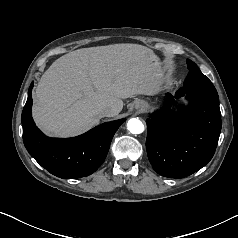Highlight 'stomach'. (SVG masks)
<instances>
[{"label": "stomach", "instance_id": "stomach-1", "mask_svg": "<svg viewBox=\"0 0 238 238\" xmlns=\"http://www.w3.org/2000/svg\"><path fill=\"white\" fill-rule=\"evenodd\" d=\"M149 57L151 58V62L152 63H155L157 64L158 66H160V63H159V59L158 57L154 54L153 51L150 50V53H149ZM138 101H136L135 103H137Z\"/></svg>", "mask_w": 238, "mask_h": 238}]
</instances>
